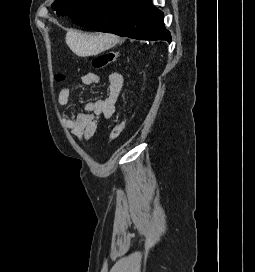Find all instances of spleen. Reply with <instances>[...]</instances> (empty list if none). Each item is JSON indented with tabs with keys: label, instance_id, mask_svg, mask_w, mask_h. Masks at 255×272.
Here are the masks:
<instances>
[{
	"label": "spleen",
	"instance_id": "spleen-1",
	"mask_svg": "<svg viewBox=\"0 0 255 272\" xmlns=\"http://www.w3.org/2000/svg\"><path fill=\"white\" fill-rule=\"evenodd\" d=\"M117 42V38L107 34H85L78 31H68L66 43L78 56L85 57L97 55L111 48Z\"/></svg>",
	"mask_w": 255,
	"mask_h": 272
}]
</instances>
